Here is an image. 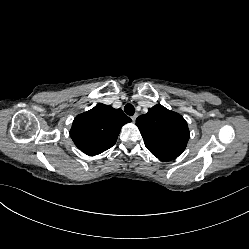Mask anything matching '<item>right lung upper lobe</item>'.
Listing matches in <instances>:
<instances>
[{
	"label": "right lung upper lobe",
	"mask_w": 249,
	"mask_h": 249,
	"mask_svg": "<svg viewBox=\"0 0 249 249\" xmlns=\"http://www.w3.org/2000/svg\"><path fill=\"white\" fill-rule=\"evenodd\" d=\"M128 122L131 119L121 109L97 104L74 119L70 136L82 152L98 155L114 146L121 127Z\"/></svg>",
	"instance_id": "obj_1"
}]
</instances>
